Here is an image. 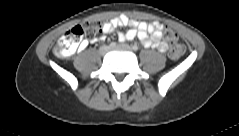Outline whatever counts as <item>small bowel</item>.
Segmentation results:
<instances>
[{
    "mask_svg": "<svg viewBox=\"0 0 239 136\" xmlns=\"http://www.w3.org/2000/svg\"><path fill=\"white\" fill-rule=\"evenodd\" d=\"M123 26L129 27V30L124 33H119L118 39L120 42L138 38L145 47H153L159 52L167 51L168 45L163 39L164 25L160 22H152L148 24L146 22H139L137 20L131 19L126 15H120L104 23L102 32L104 34H109L116 28ZM99 40L100 38H93L90 42L96 43ZM87 43V41H83L79 48H84Z\"/></svg>",
    "mask_w": 239,
    "mask_h": 136,
    "instance_id": "1",
    "label": "small bowel"
}]
</instances>
